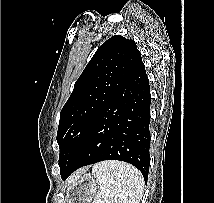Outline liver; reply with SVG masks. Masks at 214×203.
I'll list each match as a JSON object with an SVG mask.
<instances>
[{
	"label": "liver",
	"mask_w": 214,
	"mask_h": 203,
	"mask_svg": "<svg viewBox=\"0 0 214 203\" xmlns=\"http://www.w3.org/2000/svg\"><path fill=\"white\" fill-rule=\"evenodd\" d=\"M77 176H78V174H77L76 176H75V175H73L72 179H70V180H73V178H74V177H77Z\"/></svg>",
	"instance_id": "1"
}]
</instances>
